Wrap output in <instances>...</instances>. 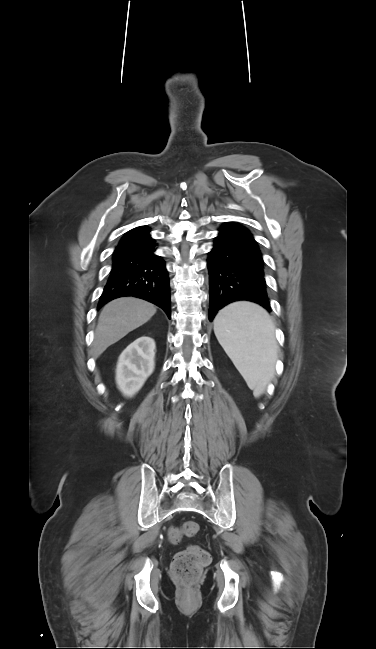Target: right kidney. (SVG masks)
<instances>
[{
  "label": "right kidney",
  "instance_id": "1",
  "mask_svg": "<svg viewBox=\"0 0 376 649\" xmlns=\"http://www.w3.org/2000/svg\"><path fill=\"white\" fill-rule=\"evenodd\" d=\"M155 342L142 336L121 353L116 368V383L127 397L134 396L153 373L155 366Z\"/></svg>",
  "mask_w": 376,
  "mask_h": 649
}]
</instances>
